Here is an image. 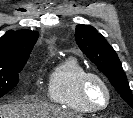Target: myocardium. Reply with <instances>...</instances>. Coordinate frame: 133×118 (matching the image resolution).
I'll return each instance as SVG.
<instances>
[{"mask_svg":"<svg viewBox=\"0 0 133 118\" xmlns=\"http://www.w3.org/2000/svg\"><path fill=\"white\" fill-rule=\"evenodd\" d=\"M93 81L98 82L106 92V101L102 106L95 105L90 98V85ZM81 97L84 103L92 112H99L105 110L111 103L112 92L107 81L97 73H86L80 83Z\"/></svg>","mask_w":133,"mask_h":118,"instance_id":"myocardium-1","label":"myocardium"}]
</instances>
